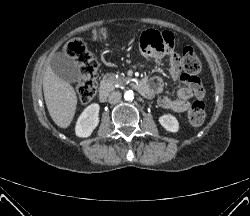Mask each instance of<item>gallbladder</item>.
Wrapping results in <instances>:
<instances>
[{
  "instance_id": "bac80fb5",
  "label": "gallbladder",
  "mask_w": 250,
  "mask_h": 216,
  "mask_svg": "<svg viewBox=\"0 0 250 216\" xmlns=\"http://www.w3.org/2000/svg\"><path fill=\"white\" fill-rule=\"evenodd\" d=\"M52 71L62 80L74 83L80 79V71L66 53H56L49 62Z\"/></svg>"
}]
</instances>
